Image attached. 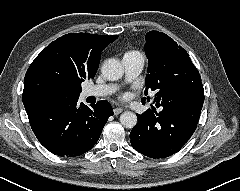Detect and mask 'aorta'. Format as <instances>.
I'll use <instances>...</instances> for the list:
<instances>
[{
  "label": "aorta",
  "instance_id": "obj_1",
  "mask_svg": "<svg viewBox=\"0 0 240 191\" xmlns=\"http://www.w3.org/2000/svg\"><path fill=\"white\" fill-rule=\"evenodd\" d=\"M101 71L104 78L115 81L123 76L124 67L119 60L110 58L104 61ZM120 122L125 128L131 129L137 124V116L131 111H126L121 114Z\"/></svg>",
  "mask_w": 240,
  "mask_h": 191
}]
</instances>
